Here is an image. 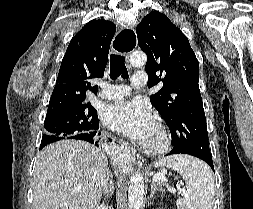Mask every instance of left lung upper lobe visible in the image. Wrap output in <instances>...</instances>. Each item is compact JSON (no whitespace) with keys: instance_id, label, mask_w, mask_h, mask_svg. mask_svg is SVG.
<instances>
[{"instance_id":"obj_1","label":"left lung upper lobe","mask_w":253,"mask_h":209,"mask_svg":"<svg viewBox=\"0 0 253 209\" xmlns=\"http://www.w3.org/2000/svg\"><path fill=\"white\" fill-rule=\"evenodd\" d=\"M136 32L138 45L147 54L148 87L163 84L150 101L170 129L172 150L211 156L199 63L188 38L158 11L146 15Z\"/></svg>"}]
</instances>
